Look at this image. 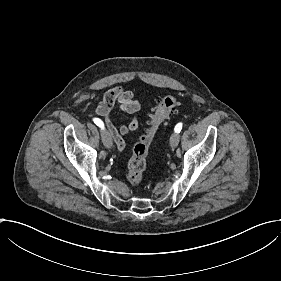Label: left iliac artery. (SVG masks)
<instances>
[{
    "label": "left iliac artery",
    "mask_w": 281,
    "mask_h": 281,
    "mask_svg": "<svg viewBox=\"0 0 281 281\" xmlns=\"http://www.w3.org/2000/svg\"><path fill=\"white\" fill-rule=\"evenodd\" d=\"M181 129H182V123H178L176 126H175V132L176 133H180V131H181Z\"/></svg>",
    "instance_id": "44dca946"
}]
</instances>
